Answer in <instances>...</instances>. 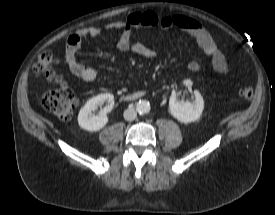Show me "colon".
I'll return each instance as SVG.
<instances>
[{
	"label": "colon",
	"mask_w": 275,
	"mask_h": 215,
	"mask_svg": "<svg viewBox=\"0 0 275 215\" xmlns=\"http://www.w3.org/2000/svg\"><path fill=\"white\" fill-rule=\"evenodd\" d=\"M55 61L56 59L52 55L42 54L34 66V72L46 82L57 84L56 88L43 95V107L59 119L68 120L71 118L78 100L69 84L52 71L51 67ZM238 96L243 100H249L253 97V90L251 87L241 88Z\"/></svg>",
	"instance_id": "colon-1"
}]
</instances>
